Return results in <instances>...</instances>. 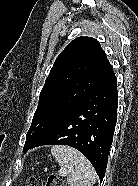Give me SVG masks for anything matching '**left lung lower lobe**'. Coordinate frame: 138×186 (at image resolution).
Listing matches in <instances>:
<instances>
[{"mask_svg":"<svg viewBox=\"0 0 138 186\" xmlns=\"http://www.w3.org/2000/svg\"><path fill=\"white\" fill-rule=\"evenodd\" d=\"M117 96V79L112 71L65 117L23 151L41 145L74 147L88 158L102 181L117 121Z\"/></svg>","mask_w":138,"mask_h":186,"instance_id":"obj_1","label":"left lung lower lobe"}]
</instances>
